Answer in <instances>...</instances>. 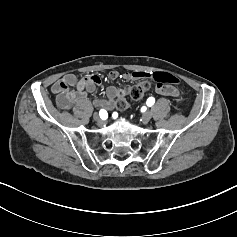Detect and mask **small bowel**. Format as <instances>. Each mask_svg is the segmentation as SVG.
Returning a JSON list of instances; mask_svg holds the SVG:
<instances>
[{
    "label": "small bowel",
    "mask_w": 237,
    "mask_h": 237,
    "mask_svg": "<svg viewBox=\"0 0 237 237\" xmlns=\"http://www.w3.org/2000/svg\"><path fill=\"white\" fill-rule=\"evenodd\" d=\"M150 75L144 71H134L121 74L118 71H111L109 77L112 80L124 78L127 80H137L147 78ZM102 84V78L98 75L85 76L78 78L75 74H67L56 81L51 91L56 97L57 106L62 110L74 111L79 117L85 118L89 115L92 107L112 110L116 106V99L121 94V90L116 86H109L106 90L105 99H95L92 102L86 99L87 95L94 92ZM158 95L177 97L178 90L170 85L158 83L155 88Z\"/></svg>",
    "instance_id": "obj_1"
}]
</instances>
